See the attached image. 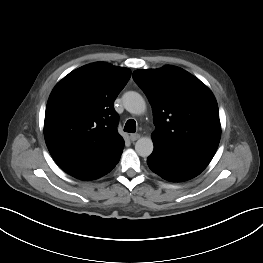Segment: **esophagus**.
Returning a JSON list of instances; mask_svg holds the SVG:
<instances>
[{
	"label": "esophagus",
	"mask_w": 263,
	"mask_h": 263,
	"mask_svg": "<svg viewBox=\"0 0 263 263\" xmlns=\"http://www.w3.org/2000/svg\"><path fill=\"white\" fill-rule=\"evenodd\" d=\"M139 138H140V134L135 133L130 135V140L133 142L138 140Z\"/></svg>",
	"instance_id": "34e87169"
}]
</instances>
